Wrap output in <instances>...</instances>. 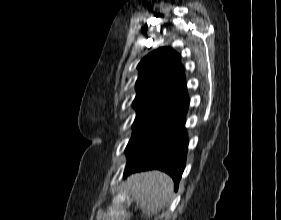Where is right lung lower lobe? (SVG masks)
Instances as JSON below:
<instances>
[{"label": "right lung lower lobe", "mask_w": 281, "mask_h": 220, "mask_svg": "<svg viewBox=\"0 0 281 220\" xmlns=\"http://www.w3.org/2000/svg\"><path fill=\"white\" fill-rule=\"evenodd\" d=\"M187 108L171 119L169 124L127 163L125 175L137 171L159 169L173 178L177 189L185 168L188 148L185 129Z\"/></svg>", "instance_id": "1"}]
</instances>
